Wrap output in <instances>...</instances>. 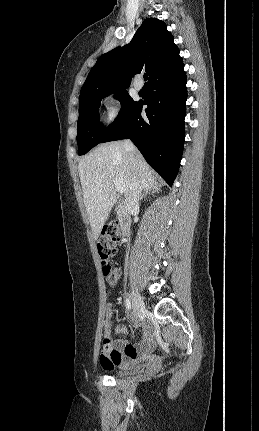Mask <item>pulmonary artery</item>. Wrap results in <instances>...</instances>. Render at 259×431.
<instances>
[{"instance_id": "e3ab8cb5", "label": "pulmonary artery", "mask_w": 259, "mask_h": 431, "mask_svg": "<svg viewBox=\"0 0 259 431\" xmlns=\"http://www.w3.org/2000/svg\"><path fill=\"white\" fill-rule=\"evenodd\" d=\"M134 87H135V89L136 90H141L142 89V87H143V83H142V81H141V79L140 78H138V79H136L135 80V82H134Z\"/></svg>"}]
</instances>
